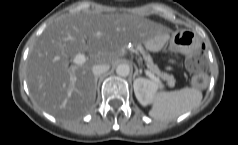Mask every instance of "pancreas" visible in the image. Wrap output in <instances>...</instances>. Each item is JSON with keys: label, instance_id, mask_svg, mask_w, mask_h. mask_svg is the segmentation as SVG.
I'll return each mask as SVG.
<instances>
[{"label": "pancreas", "instance_id": "pancreas-1", "mask_svg": "<svg viewBox=\"0 0 238 145\" xmlns=\"http://www.w3.org/2000/svg\"><path fill=\"white\" fill-rule=\"evenodd\" d=\"M137 51L143 55V58L146 62L147 68L153 73L156 74L158 77L168 81L169 86L173 87L175 84L174 77L167 73H163L159 70L158 66L153 63L151 56L146 53V51L142 48L141 45L137 46Z\"/></svg>", "mask_w": 238, "mask_h": 145}]
</instances>
